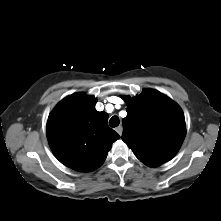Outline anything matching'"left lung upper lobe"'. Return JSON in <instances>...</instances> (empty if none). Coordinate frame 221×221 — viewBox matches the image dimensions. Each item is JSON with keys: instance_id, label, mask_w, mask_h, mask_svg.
Wrapping results in <instances>:
<instances>
[{"instance_id": "1", "label": "left lung upper lobe", "mask_w": 221, "mask_h": 221, "mask_svg": "<svg viewBox=\"0 0 221 221\" xmlns=\"http://www.w3.org/2000/svg\"><path fill=\"white\" fill-rule=\"evenodd\" d=\"M127 101L122 140L145 165L156 167L180 149L186 133L181 108L166 95L144 89Z\"/></svg>"}]
</instances>
